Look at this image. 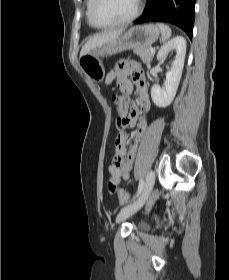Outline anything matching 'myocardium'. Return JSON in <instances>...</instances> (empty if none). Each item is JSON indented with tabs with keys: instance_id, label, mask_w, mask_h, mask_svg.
Wrapping results in <instances>:
<instances>
[{
	"instance_id": "obj_1",
	"label": "myocardium",
	"mask_w": 229,
	"mask_h": 280,
	"mask_svg": "<svg viewBox=\"0 0 229 280\" xmlns=\"http://www.w3.org/2000/svg\"><path fill=\"white\" fill-rule=\"evenodd\" d=\"M99 2H100V0H93V4L91 6L90 13H89L90 23L94 28H97V29L119 27V26H124V25L130 24L140 15V13L142 12V9H143V0H137V6H136L134 12L129 17H127L123 20L116 21V22L100 24V23H97L95 20V10H96Z\"/></svg>"
}]
</instances>
